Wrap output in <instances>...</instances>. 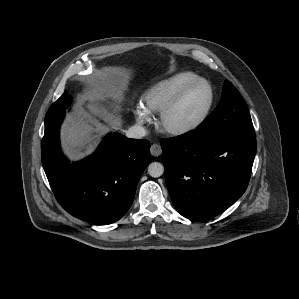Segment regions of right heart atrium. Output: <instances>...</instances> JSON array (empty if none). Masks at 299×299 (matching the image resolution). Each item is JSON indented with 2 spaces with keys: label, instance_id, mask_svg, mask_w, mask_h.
<instances>
[{
  "label": "right heart atrium",
  "instance_id": "right-heart-atrium-1",
  "mask_svg": "<svg viewBox=\"0 0 299 299\" xmlns=\"http://www.w3.org/2000/svg\"><path fill=\"white\" fill-rule=\"evenodd\" d=\"M136 119L139 124H147L151 121V114L146 111L142 106L138 107L135 111Z\"/></svg>",
  "mask_w": 299,
  "mask_h": 299
}]
</instances>
